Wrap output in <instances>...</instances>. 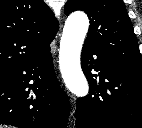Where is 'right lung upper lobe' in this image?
Listing matches in <instances>:
<instances>
[{
  "mask_svg": "<svg viewBox=\"0 0 142 128\" xmlns=\"http://www.w3.org/2000/svg\"><path fill=\"white\" fill-rule=\"evenodd\" d=\"M57 29L43 0H0V76L42 54Z\"/></svg>",
  "mask_w": 142,
  "mask_h": 128,
  "instance_id": "cb5924a9",
  "label": "right lung upper lobe"
}]
</instances>
